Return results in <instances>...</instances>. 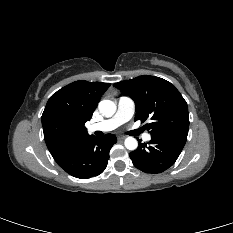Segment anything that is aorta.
Listing matches in <instances>:
<instances>
[{"label":"aorta","mask_w":233,"mask_h":233,"mask_svg":"<svg viewBox=\"0 0 233 233\" xmlns=\"http://www.w3.org/2000/svg\"><path fill=\"white\" fill-rule=\"evenodd\" d=\"M98 108L103 116L109 118L115 114L117 106L111 100H102L99 102ZM124 145L128 150H135L138 147V141L133 137H128L125 139Z\"/></svg>","instance_id":"1"}]
</instances>
